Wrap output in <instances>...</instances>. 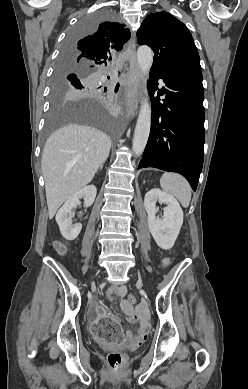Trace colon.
Listing matches in <instances>:
<instances>
[{"instance_id":"colon-1","label":"colon","mask_w":248,"mask_h":389,"mask_svg":"<svg viewBox=\"0 0 248 389\" xmlns=\"http://www.w3.org/2000/svg\"><path fill=\"white\" fill-rule=\"evenodd\" d=\"M56 248L59 253L65 252V246L62 243H57ZM128 306L132 307L136 299L133 295L127 297ZM98 310V322L91 324V332L96 333L98 340L101 344H120L123 335L120 333L121 328L120 322H112L111 318H108L103 312L104 307L99 306ZM109 368L112 371L120 370L124 365V354L120 351H114L108 355Z\"/></svg>"}]
</instances>
